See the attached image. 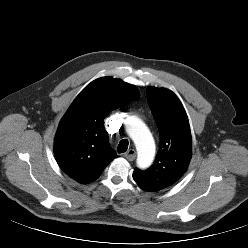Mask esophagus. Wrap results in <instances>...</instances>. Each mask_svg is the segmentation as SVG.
I'll list each match as a JSON object with an SVG mask.
<instances>
[{
    "label": "esophagus",
    "instance_id": "esophagus-1",
    "mask_svg": "<svg viewBox=\"0 0 248 248\" xmlns=\"http://www.w3.org/2000/svg\"><path fill=\"white\" fill-rule=\"evenodd\" d=\"M124 157L129 160L133 161L136 157V151L134 149H129L125 154Z\"/></svg>",
    "mask_w": 248,
    "mask_h": 248
}]
</instances>
